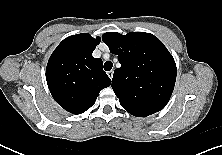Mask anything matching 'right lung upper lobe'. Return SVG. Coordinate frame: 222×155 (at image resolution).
Instances as JSON below:
<instances>
[{
    "mask_svg": "<svg viewBox=\"0 0 222 155\" xmlns=\"http://www.w3.org/2000/svg\"><path fill=\"white\" fill-rule=\"evenodd\" d=\"M100 40L88 33L69 36L49 58L46 68L48 88L55 101L75 115L93 106L99 92L111 84L103 71L102 60L92 56Z\"/></svg>",
    "mask_w": 222,
    "mask_h": 155,
    "instance_id": "obj_1",
    "label": "right lung upper lobe"
}]
</instances>
